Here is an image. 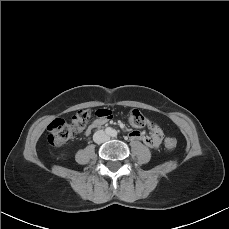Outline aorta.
I'll use <instances>...</instances> for the list:
<instances>
[{
  "instance_id": "obj_1",
  "label": "aorta",
  "mask_w": 229,
  "mask_h": 229,
  "mask_svg": "<svg viewBox=\"0 0 229 229\" xmlns=\"http://www.w3.org/2000/svg\"><path fill=\"white\" fill-rule=\"evenodd\" d=\"M111 136H115L116 135V131L115 130H111L110 133H109Z\"/></svg>"
}]
</instances>
